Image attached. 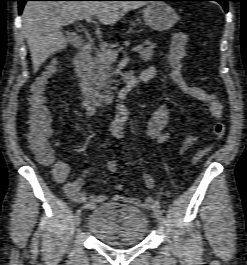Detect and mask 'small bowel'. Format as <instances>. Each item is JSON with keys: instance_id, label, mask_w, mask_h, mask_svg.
Segmentation results:
<instances>
[{"instance_id": "small-bowel-1", "label": "small bowel", "mask_w": 247, "mask_h": 265, "mask_svg": "<svg viewBox=\"0 0 247 265\" xmlns=\"http://www.w3.org/2000/svg\"><path fill=\"white\" fill-rule=\"evenodd\" d=\"M156 75V68L150 67L144 70L139 75V77L142 79V82H145L153 79ZM210 96L211 102L205 104L204 114L213 116L216 121L220 120L222 115V105L215 94L210 93ZM81 108L86 117H91L95 112V104L86 97H84L82 100ZM168 123L169 108L165 103H161L156 109V111L153 113L152 117L150 118L147 124V135L149 136V138L157 144H162L166 142L170 135ZM112 131L116 136L121 135L120 127L118 125H113ZM197 138L198 137L194 133H191L186 138L182 149H186L191 146L197 140ZM94 170L95 168H88L77 179L71 181H66V174L63 176H57L58 180L64 183L63 192L70 201L77 204L94 203L95 205L106 201V195H89L87 192L82 190L85 177ZM142 179L147 188L152 189L154 187L155 181L150 174L144 173L142 175ZM122 190L123 186L121 184H116L114 186L115 194L112 197L114 201L130 203L143 209H151L153 207L155 201L153 197L149 196L146 197L143 201H141L136 198L124 197L120 195V192Z\"/></svg>"}]
</instances>
